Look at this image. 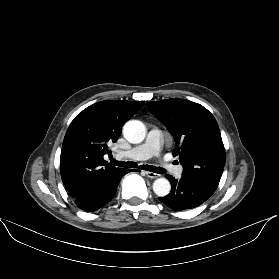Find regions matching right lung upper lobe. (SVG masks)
<instances>
[{
	"mask_svg": "<svg viewBox=\"0 0 279 279\" xmlns=\"http://www.w3.org/2000/svg\"><path fill=\"white\" fill-rule=\"evenodd\" d=\"M144 105L143 101L106 100L80 112L71 122L62 145L61 178L69 194L86 195L125 169L103 159L107 143L116 142L123 125Z\"/></svg>",
	"mask_w": 279,
	"mask_h": 279,
	"instance_id": "obj_1",
	"label": "right lung upper lobe"
}]
</instances>
